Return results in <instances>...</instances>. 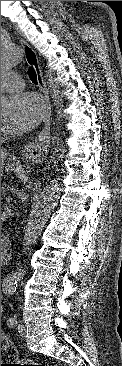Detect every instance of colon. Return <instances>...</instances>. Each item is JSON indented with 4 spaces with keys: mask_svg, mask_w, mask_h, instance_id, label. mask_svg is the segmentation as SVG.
Here are the masks:
<instances>
[{
    "mask_svg": "<svg viewBox=\"0 0 122 366\" xmlns=\"http://www.w3.org/2000/svg\"><path fill=\"white\" fill-rule=\"evenodd\" d=\"M6 360H16V351L10 341H8L3 334L1 333V359ZM8 366H56V365H47L43 363L33 362V361H19L18 363L5 364Z\"/></svg>",
    "mask_w": 122,
    "mask_h": 366,
    "instance_id": "1",
    "label": "colon"
}]
</instances>
